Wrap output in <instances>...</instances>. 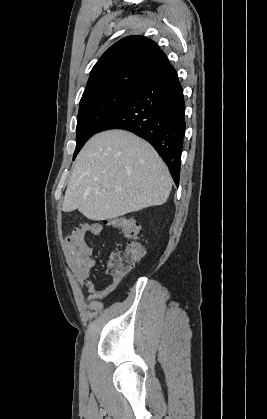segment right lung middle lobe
<instances>
[{"mask_svg": "<svg viewBox=\"0 0 267 419\" xmlns=\"http://www.w3.org/2000/svg\"><path fill=\"white\" fill-rule=\"evenodd\" d=\"M138 87L130 86L102 91L81 99L76 127V149L73 160L86 141L97 133L101 125L129 99Z\"/></svg>", "mask_w": 267, "mask_h": 419, "instance_id": "obj_1", "label": "right lung middle lobe"}]
</instances>
